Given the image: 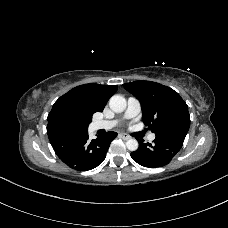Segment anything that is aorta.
Returning a JSON list of instances; mask_svg holds the SVG:
<instances>
[{
	"label": "aorta",
	"instance_id": "762f6f07",
	"mask_svg": "<svg viewBox=\"0 0 228 228\" xmlns=\"http://www.w3.org/2000/svg\"><path fill=\"white\" fill-rule=\"evenodd\" d=\"M110 109L115 113H121L126 109V99L121 95H113L109 100ZM138 141L136 139H129L126 142V147L130 151H136L138 149Z\"/></svg>",
	"mask_w": 228,
	"mask_h": 228
}]
</instances>
